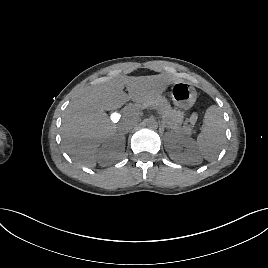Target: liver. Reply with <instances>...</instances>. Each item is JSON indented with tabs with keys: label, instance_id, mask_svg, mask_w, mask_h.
Wrapping results in <instances>:
<instances>
[{
	"label": "liver",
	"instance_id": "6515ba94",
	"mask_svg": "<svg viewBox=\"0 0 268 268\" xmlns=\"http://www.w3.org/2000/svg\"><path fill=\"white\" fill-rule=\"evenodd\" d=\"M177 81L164 74L116 76L85 87L72 99L63 117L61 131L67 153L78 164L95 167L98 147L117 131L106 111L116 110L129 100L143 104L160 97Z\"/></svg>",
	"mask_w": 268,
	"mask_h": 268
}]
</instances>
